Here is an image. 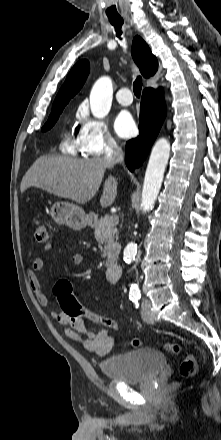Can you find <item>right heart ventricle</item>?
Wrapping results in <instances>:
<instances>
[{
  "label": "right heart ventricle",
  "instance_id": "1",
  "mask_svg": "<svg viewBox=\"0 0 221 440\" xmlns=\"http://www.w3.org/2000/svg\"><path fill=\"white\" fill-rule=\"evenodd\" d=\"M60 149L63 153L76 156L79 150H82L79 137H75L69 131H66L60 142Z\"/></svg>",
  "mask_w": 221,
  "mask_h": 440
}]
</instances>
